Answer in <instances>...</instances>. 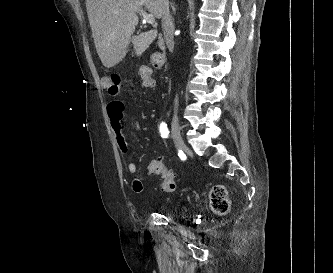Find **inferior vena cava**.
<instances>
[{
  "instance_id": "602c4592",
  "label": "inferior vena cava",
  "mask_w": 333,
  "mask_h": 273,
  "mask_svg": "<svg viewBox=\"0 0 333 273\" xmlns=\"http://www.w3.org/2000/svg\"><path fill=\"white\" fill-rule=\"evenodd\" d=\"M159 6H160V12H161L162 29H163L166 45H167L169 51L173 52L174 24H173V20L170 15V11H169V0H159ZM174 103H175V110H177L178 109V96L177 95L175 97Z\"/></svg>"
}]
</instances>
